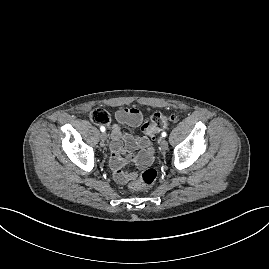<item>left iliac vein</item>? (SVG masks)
<instances>
[{"label":"left iliac vein","instance_id":"left-iliac-vein-1","mask_svg":"<svg viewBox=\"0 0 269 269\" xmlns=\"http://www.w3.org/2000/svg\"><path fill=\"white\" fill-rule=\"evenodd\" d=\"M159 143L162 151L168 150V142L164 138H161Z\"/></svg>","mask_w":269,"mask_h":269}]
</instances>
